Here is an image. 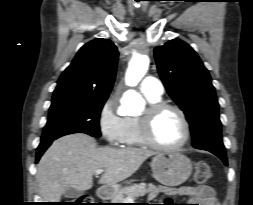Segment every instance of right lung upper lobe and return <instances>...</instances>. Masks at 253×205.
<instances>
[{"mask_svg":"<svg viewBox=\"0 0 253 205\" xmlns=\"http://www.w3.org/2000/svg\"><path fill=\"white\" fill-rule=\"evenodd\" d=\"M118 51L108 39L98 38L80 48L58 80L52 100L107 98L116 74Z\"/></svg>","mask_w":253,"mask_h":205,"instance_id":"1","label":"right lung upper lobe"}]
</instances>
